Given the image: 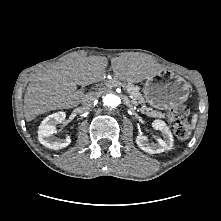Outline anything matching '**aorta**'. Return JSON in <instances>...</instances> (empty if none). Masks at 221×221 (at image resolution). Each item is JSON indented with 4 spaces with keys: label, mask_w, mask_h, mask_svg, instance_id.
Segmentation results:
<instances>
[{
    "label": "aorta",
    "mask_w": 221,
    "mask_h": 221,
    "mask_svg": "<svg viewBox=\"0 0 221 221\" xmlns=\"http://www.w3.org/2000/svg\"><path fill=\"white\" fill-rule=\"evenodd\" d=\"M120 102V98L113 94H107L103 97V104L108 108H116Z\"/></svg>",
    "instance_id": "1"
}]
</instances>
